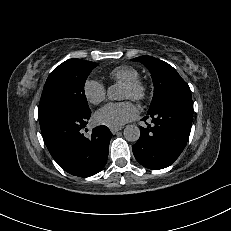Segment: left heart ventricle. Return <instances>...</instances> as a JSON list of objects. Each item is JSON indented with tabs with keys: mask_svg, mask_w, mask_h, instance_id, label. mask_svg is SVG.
I'll return each instance as SVG.
<instances>
[{
	"mask_svg": "<svg viewBox=\"0 0 231 231\" xmlns=\"http://www.w3.org/2000/svg\"><path fill=\"white\" fill-rule=\"evenodd\" d=\"M131 96H132L131 91L124 86L121 98L122 99H131Z\"/></svg>",
	"mask_w": 231,
	"mask_h": 231,
	"instance_id": "left-heart-ventricle-1",
	"label": "left heart ventricle"
}]
</instances>
